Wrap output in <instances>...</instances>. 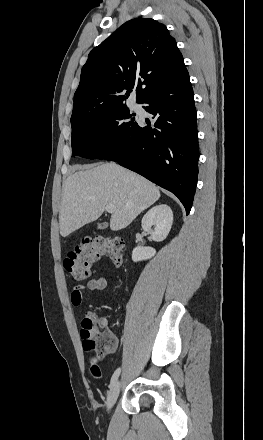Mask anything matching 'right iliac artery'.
<instances>
[{"label":"right iliac artery","instance_id":"82829eb1","mask_svg":"<svg viewBox=\"0 0 263 440\" xmlns=\"http://www.w3.org/2000/svg\"><path fill=\"white\" fill-rule=\"evenodd\" d=\"M120 371H121V368H118V369L114 372V374H113V376H112V378H111V381H110V385H109V387H111V386L115 383V381L118 379L119 374H120Z\"/></svg>","mask_w":263,"mask_h":440}]
</instances>
